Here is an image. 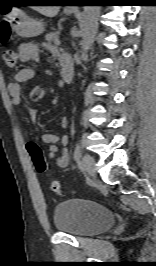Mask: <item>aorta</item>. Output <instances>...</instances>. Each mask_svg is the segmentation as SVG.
<instances>
[{"instance_id": "aorta-1", "label": "aorta", "mask_w": 156, "mask_h": 266, "mask_svg": "<svg viewBox=\"0 0 156 266\" xmlns=\"http://www.w3.org/2000/svg\"><path fill=\"white\" fill-rule=\"evenodd\" d=\"M100 6H85L84 7V21L82 25V41H81V54L87 55L91 48L95 35L98 30V20L100 16Z\"/></svg>"}]
</instances>
